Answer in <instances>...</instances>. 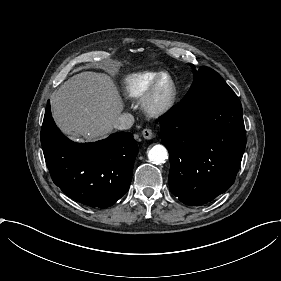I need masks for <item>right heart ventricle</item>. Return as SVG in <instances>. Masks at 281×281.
Returning <instances> with one entry per match:
<instances>
[{
    "mask_svg": "<svg viewBox=\"0 0 281 281\" xmlns=\"http://www.w3.org/2000/svg\"><path fill=\"white\" fill-rule=\"evenodd\" d=\"M160 74L162 73L142 72L126 77L121 84L122 95L128 99L141 97Z\"/></svg>",
    "mask_w": 281,
    "mask_h": 281,
    "instance_id": "e07e8e85",
    "label": "right heart ventricle"
}]
</instances>
